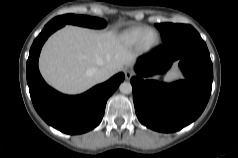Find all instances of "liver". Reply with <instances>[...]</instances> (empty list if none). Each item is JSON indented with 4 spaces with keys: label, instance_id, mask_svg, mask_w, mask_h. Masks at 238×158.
<instances>
[{
    "label": "liver",
    "instance_id": "6515ba94",
    "mask_svg": "<svg viewBox=\"0 0 238 158\" xmlns=\"http://www.w3.org/2000/svg\"><path fill=\"white\" fill-rule=\"evenodd\" d=\"M135 55L113 31L66 26L46 42L39 61L45 80L66 93H80L97 83L92 68L105 67L110 76L133 63Z\"/></svg>",
    "mask_w": 238,
    "mask_h": 158
}]
</instances>
